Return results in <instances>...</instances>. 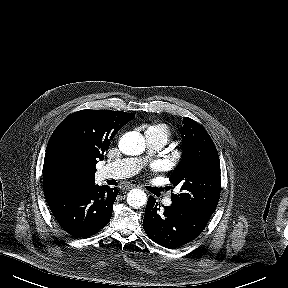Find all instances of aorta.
I'll list each match as a JSON object with an SVG mask.
<instances>
[{
    "label": "aorta",
    "mask_w": 288,
    "mask_h": 288,
    "mask_svg": "<svg viewBox=\"0 0 288 288\" xmlns=\"http://www.w3.org/2000/svg\"><path fill=\"white\" fill-rule=\"evenodd\" d=\"M145 139L138 132H128L119 141V149L126 155L136 156L145 150ZM147 202V195L141 189H132L127 194V203L133 208H140Z\"/></svg>",
    "instance_id": "762f6f07"
}]
</instances>
